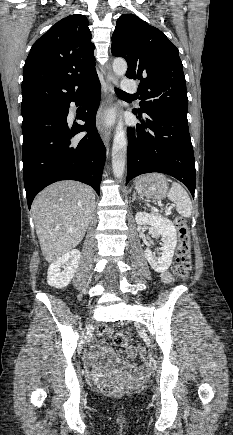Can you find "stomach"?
<instances>
[{
    "label": "stomach",
    "instance_id": "stomach-1",
    "mask_svg": "<svg viewBox=\"0 0 233 435\" xmlns=\"http://www.w3.org/2000/svg\"><path fill=\"white\" fill-rule=\"evenodd\" d=\"M135 190L142 196L160 200L168 193V179L158 173L147 174L136 181Z\"/></svg>",
    "mask_w": 233,
    "mask_h": 435
}]
</instances>
